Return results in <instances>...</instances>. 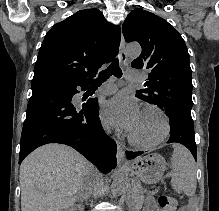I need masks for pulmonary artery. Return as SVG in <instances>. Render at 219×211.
I'll list each match as a JSON object with an SVG mask.
<instances>
[{
	"instance_id": "e3ab8cb5",
	"label": "pulmonary artery",
	"mask_w": 219,
	"mask_h": 211,
	"mask_svg": "<svg viewBox=\"0 0 219 211\" xmlns=\"http://www.w3.org/2000/svg\"><path fill=\"white\" fill-rule=\"evenodd\" d=\"M128 74H139V69H128ZM139 75H128L126 79L129 81L139 80ZM117 90V86L114 83L106 82L98 87L96 94L98 95H109Z\"/></svg>"
}]
</instances>
